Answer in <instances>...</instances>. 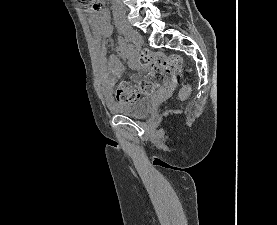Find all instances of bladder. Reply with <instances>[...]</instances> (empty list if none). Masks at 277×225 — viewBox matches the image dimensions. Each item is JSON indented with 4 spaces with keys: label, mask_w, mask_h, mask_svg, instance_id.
Masks as SVG:
<instances>
[{
    "label": "bladder",
    "mask_w": 277,
    "mask_h": 225,
    "mask_svg": "<svg viewBox=\"0 0 277 225\" xmlns=\"http://www.w3.org/2000/svg\"><path fill=\"white\" fill-rule=\"evenodd\" d=\"M108 108L116 114L130 117H142L150 113L153 109V100L152 96L149 94L139 98L133 103L118 102L109 104Z\"/></svg>",
    "instance_id": "1"
}]
</instances>
